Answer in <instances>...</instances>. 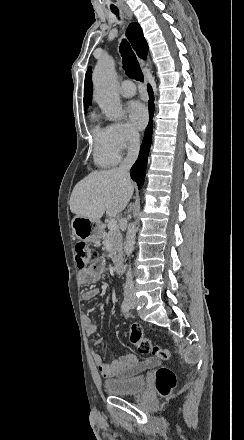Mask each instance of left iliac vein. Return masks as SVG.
I'll return each mask as SVG.
<instances>
[{
  "instance_id": "obj_1",
  "label": "left iliac vein",
  "mask_w": 244,
  "mask_h": 440,
  "mask_svg": "<svg viewBox=\"0 0 244 440\" xmlns=\"http://www.w3.org/2000/svg\"><path fill=\"white\" fill-rule=\"evenodd\" d=\"M129 304L131 308H134L136 306V298L135 296H131L129 299Z\"/></svg>"
}]
</instances>
